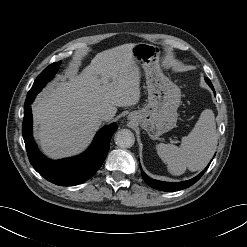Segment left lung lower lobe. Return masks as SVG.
Instances as JSON below:
<instances>
[{
	"label": "left lung lower lobe",
	"mask_w": 247,
	"mask_h": 247,
	"mask_svg": "<svg viewBox=\"0 0 247 247\" xmlns=\"http://www.w3.org/2000/svg\"><path fill=\"white\" fill-rule=\"evenodd\" d=\"M206 82L214 90L212 83L207 81V80H206ZM209 165H210V163L198 176L194 177L193 179L183 181V182H178V183L162 182V181L151 179L143 171H142V177H143L144 181L154 189H158V190H162V191H178V190L185 189V188L193 185L195 182H197L201 178V176L205 173V171L207 170Z\"/></svg>",
	"instance_id": "left-lung-lower-lobe-1"
}]
</instances>
